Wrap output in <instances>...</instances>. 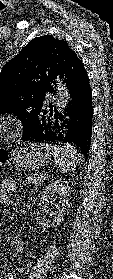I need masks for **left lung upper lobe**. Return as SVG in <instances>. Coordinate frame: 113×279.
I'll use <instances>...</instances> for the list:
<instances>
[{"mask_svg": "<svg viewBox=\"0 0 113 279\" xmlns=\"http://www.w3.org/2000/svg\"><path fill=\"white\" fill-rule=\"evenodd\" d=\"M72 52L66 41L44 35L32 39L3 66L0 114H15L23 124V134L32 128L35 110L42 105L45 90Z\"/></svg>", "mask_w": 113, "mask_h": 279, "instance_id": "1", "label": "left lung upper lobe"}]
</instances>
